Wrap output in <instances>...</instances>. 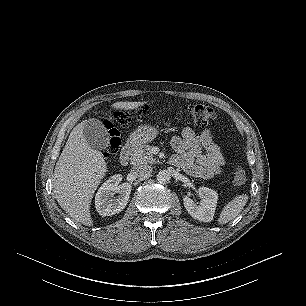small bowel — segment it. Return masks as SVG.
<instances>
[{
  "label": "small bowel",
  "mask_w": 306,
  "mask_h": 306,
  "mask_svg": "<svg viewBox=\"0 0 306 306\" xmlns=\"http://www.w3.org/2000/svg\"><path fill=\"white\" fill-rule=\"evenodd\" d=\"M171 144L178 153L172 157L171 163L181 167L187 174L210 179L223 173L225 158L220 147L213 141L210 129L196 135L192 128L185 127L181 137L174 136Z\"/></svg>",
  "instance_id": "small-bowel-1"
}]
</instances>
